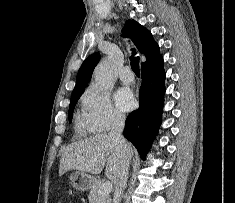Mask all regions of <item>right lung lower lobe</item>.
<instances>
[{
	"instance_id": "right-lung-lower-lobe-1",
	"label": "right lung lower lobe",
	"mask_w": 235,
	"mask_h": 203,
	"mask_svg": "<svg viewBox=\"0 0 235 203\" xmlns=\"http://www.w3.org/2000/svg\"><path fill=\"white\" fill-rule=\"evenodd\" d=\"M141 77L140 107L128 115L124 137L136 147L142 159H145L160 127L164 105L165 72L161 55L141 67Z\"/></svg>"
}]
</instances>
